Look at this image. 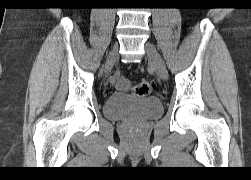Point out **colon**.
I'll return each mask as SVG.
<instances>
[{
  "instance_id": "1",
  "label": "colon",
  "mask_w": 251,
  "mask_h": 180,
  "mask_svg": "<svg viewBox=\"0 0 251 180\" xmlns=\"http://www.w3.org/2000/svg\"><path fill=\"white\" fill-rule=\"evenodd\" d=\"M153 90H154V83L146 79L140 80L134 86V93L139 96H147Z\"/></svg>"
}]
</instances>
